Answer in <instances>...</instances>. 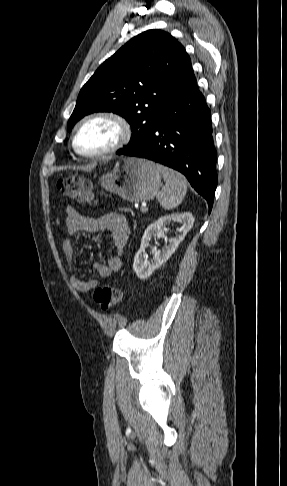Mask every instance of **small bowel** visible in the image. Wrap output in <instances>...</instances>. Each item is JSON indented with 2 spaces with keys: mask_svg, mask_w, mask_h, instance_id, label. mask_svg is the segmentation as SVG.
Listing matches in <instances>:
<instances>
[{
  "mask_svg": "<svg viewBox=\"0 0 287 486\" xmlns=\"http://www.w3.org/2000/svg\"><path fill=\"white\" fill-rule=\"evenodd\" d=\"M65 224L67 236L63 240L62 249L67 262L69 280L76 291L85 293L97 287L101 279L107 278L121 269L120 256L124 253L129 238L128 222L124 215L116 212L94 218L81 214L73 207H67ZM79 232H106L111 239L115 254L108 258L106 264L96 263L94 265L99 275L98 279L83 280L75 269L76 252L72 238Z\"/></svg>",
  "mask_w": 287,
  "mask_h": 486,
  "instance_id": "1",
  "label": "small bowel"
}]
</instances>
